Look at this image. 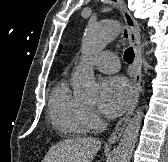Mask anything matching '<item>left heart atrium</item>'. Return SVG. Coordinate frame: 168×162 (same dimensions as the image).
<instances>
[{
  "label": "left heart atrium",
  "instance_id": "left-heart-atrium-1",
  "mask_svg": "<svg viewBox=\"0 0 168 162\" xmlns=\"http://www.w3.org/2000/svg\"><path fill=\"white\" fill-rule=\"evenodd\" d=\"M132 98L130 83L121 76H112L101 83L99 106L107 117H116L128 106Z\"/></svg>",
  "mask_w": 168,
  "mask_h": 162
}]
</instances>
